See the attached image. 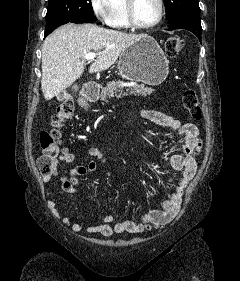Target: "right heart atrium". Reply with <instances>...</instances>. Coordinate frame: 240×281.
I'll return each mask as SVG.
<instances>
[{"mask_svg":"<svg viewBox=\"0 0 240 281\" xmlns=\"http://www.w3.org/2000/svg\"><path fill=\"white\" fill-rule=\"evenodd\" d=\"M112 0H89L93 14L101 21L108 22L111 14Z\"/></svg>","mask_w":240,"mask_h":281,"instance_id":"d8ad5b80","label":"right heart atrium"}]
</instances>
